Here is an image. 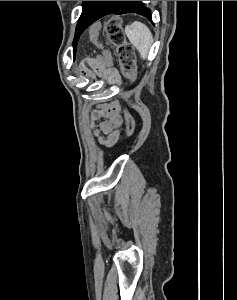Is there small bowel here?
<instances>
[{"instance_id": "c3829d8e", "label": "small bowel", "mask_w": 237, "mask_h": 300, "mask_svg": "<svg viewBox=\"0 0 237 300\" xmlns=\"http://www.w3.org/2000/svg\"><path fill=\"white\" fill-rule=\"evenodd\" d=\"M89 67L82 66V71L86 76H97L112 87L119 84L120 76L115 68L111 66L100 67L92 61H89ZM101 119L99 126L96 127L95 122ZM121 125L122 117L119 114V104L116 101L99 104L90 113V126L93 133L98 141L106 146H113L118 141ZM103 135H106V138Z\"/></svg>"}]
</instances>
